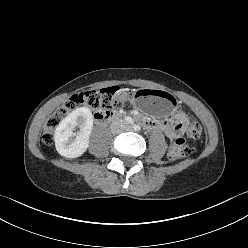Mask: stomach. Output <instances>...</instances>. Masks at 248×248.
I'll return each mask as SVG.
<instances>
[{
	"label": "stomach",
	"instance_id": "stomach-1",
	"mask_svg": "<svg viewBox=\"0 0 248 248\" xmlns=\"http://www.w3.org/2000/svg\"><path fill=\"white\" fill-rule=\"evenodd\" d=\"M130 101L133 106L145 109L150 115L155 117H166L173 114L177 105V101L172 95L166 92H159L154 87L133 91Z\"/></svg>",
	"mask_w": 248,
	"mask_h": 248
}]
</instances>
